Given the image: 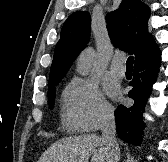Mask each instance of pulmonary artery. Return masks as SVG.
<instances>
[{"label": "pulmonary artery", "instance_id": "pulmonary-artery-1", "mask_svg": "<svg viewBox=\"0 0 168 162\" xmlns=\"http://www.w3.org/2000/svg\"><path fill=\"white\" fill-rule=\"evenodd\" d=\"M110 71L117 77H123L125 75L126 69L123 66V60L119 55H115L112 58L110 63Z\"/></svg>", "mask_w": 168, "mask_h": 162}]
</instances>
